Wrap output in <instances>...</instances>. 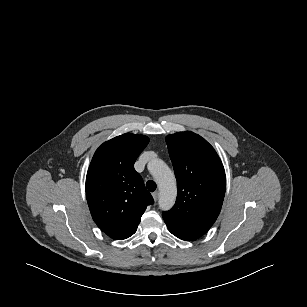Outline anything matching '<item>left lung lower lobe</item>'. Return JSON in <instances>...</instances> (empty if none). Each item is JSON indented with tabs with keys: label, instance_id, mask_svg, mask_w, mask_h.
<instances>
[{
	"label": "left lung lower lobe",
	"instance_id": "obj_1",
	"mask_svg": "<svg viewBox=\"0 0 307 307\" xmlns=\"http://www.w3.org/2000/svg\"><path fill=\"white\" fill-rule=\"evenodd\" d=\"M171 233H172V232H171ZM172 234H174L175 236H177L178 238H180V239H182V240H186V241H188L186 238L181 237V236H179V235H177V234H175V233H172Z\"/></svg>",
	"mask_w": 307,
	"mask_h": 307
}]
</instances>
